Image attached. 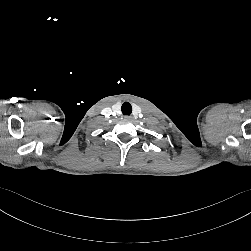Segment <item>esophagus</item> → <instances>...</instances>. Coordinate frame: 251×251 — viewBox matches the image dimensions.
<instances>
[{
    "instance_id": "esophagus-1",
    "label": "esophagus",
    "mask_w": 251,
    "mask_h": 251,
    "mask_svg": "<svg viewBox=\"0 0 251 251\" xmlns=\"http://www.w3.org/2000/svg\"><path fill=\"white\" fill-rule=\"evenodd\" d=\"M132 117L131 116H128V115H126V116H124V119H126V120H130Z\"/></svg>"
}]
</instances>
